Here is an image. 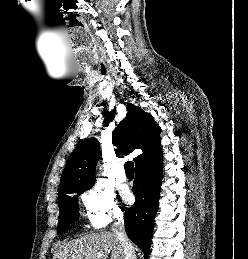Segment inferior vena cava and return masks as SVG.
<instances>
[{
    "mask_svg": "<svg viewBox=\"0 0 248 259\" xmlns=\"http://www.w3.org/2000/svg\"><path fill=\"white\" fill-rule=\"evenodd\" d=\"M112 231L116 236V238L118 239L121 246L123 247L124 259H136L134 248L130 243V241L128 240L125 232L123 214H116L114 216Z\"/></svg>",
    "mask_w": 248,
    "mask_h": 259,
    "instance_id": "obj_1",
    "label": "inferior vena cava"
}]
</instances>
